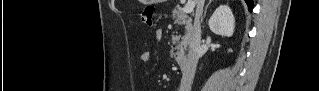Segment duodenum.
Wrapping results in <instances>:
<instances>
[{
    "instance_id": "duodenum-1",
    "label": "duodenum",
    "mask_w": 319,
    "mask_h": 91,
    "mask_svg": "<svg viewBox=\"0 0 319 91\" xmlns=\"http://www.w3.org/2000/svg\"><path fill=\"white\" fill-rule=\"evenodd\" d=\"M174 60H175V62L178 64V66L181 69H185L186 68L187 58H186V56L184 54H176L174 56Z\"/></svg>"
}]
</instances>
